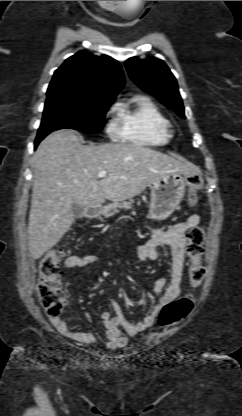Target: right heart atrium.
<instances>
[{
	"instance_id": "d8ad5b80",
	"label": "right heart atrium",
	"mask_w": 242,
	"mask_h": 416,
	"mask_svg": "<svg viewBox=\"0 0 242 416\" xmlns=\"http://www.w3.org/2000/svg\"><path fill=\"white\" fill-rule=\"evenodd\" d=\"M112 112V110H110L109 111V113H111ZM108 132H115V127L114 126H112V125H110L109 127H108Z\"/></svg>"
}]
</instances>
